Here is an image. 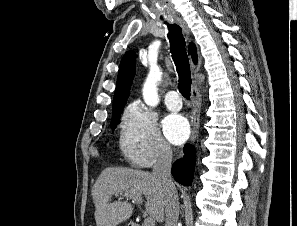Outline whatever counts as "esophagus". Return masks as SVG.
I'll return each instance as SVG.
<instances>
[{
  "label": "esophagus",
  "mask_w": 297,
  "mask_h": 226,
  "mask_svg": "<svg viewBox=\"0 0 297 226\" xmlns=\"http://www.w3.org/2000/svg\"><path fill=\"white\" fill-rule=\"evenodd\" d=\"M177 22L182 26L184 32L189 35V29L186 22L182 18H177ZM194 69V67H193ZM191 99L193 102V112H192V132L190 137V143H194L200 128V113H201V93L199 89V81L197 78L194 79L192 89H191Z\"/></svg>",
  "instance_id": "esophagus-1"
}]
</instances>
